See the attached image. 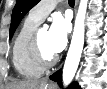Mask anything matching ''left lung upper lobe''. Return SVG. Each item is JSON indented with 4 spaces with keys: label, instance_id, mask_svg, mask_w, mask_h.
Returning a JSON list of instances; mask_svg holds the SVG:
<instances>
[{
    "label": "left lung upper lobe",
    "instance_id": "5c2ea615",
    "mask_svg": "<svg viewBox=\"0 0 107 89\" xmlns=\"http://www.w3.org/2000/svg\"><path fill=\"white\" fill-rule=\"evenodd\" d=\"M38 2L39 0H17L12 12L10 38H12L16 28L18 27L24 15Z\"/></svg>",
    "mask_w": 107,
    "mask_h": 89
}]
</instances>
